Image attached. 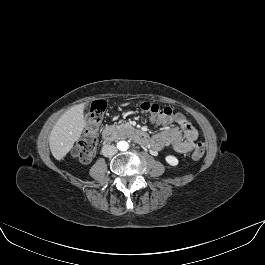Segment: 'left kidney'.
Listing matches in <instances>:
<instances>
[{
	"mask_svg": "<svg viewBox=\"0 0 265 265\" xmlns=\"http://www.w3.org/2000/svg\"><path fill=\"white\" fill-rule=\"evenodd\" d=\"M165 161L171 166H177L179 161L175 156L168 155L165 157Z\"/></svg>",
	"mask_w": 265,
	"mask_h": 265,
	"instance_id": "5707ae66",
	"label": "left kidney"
}]
</instances>
